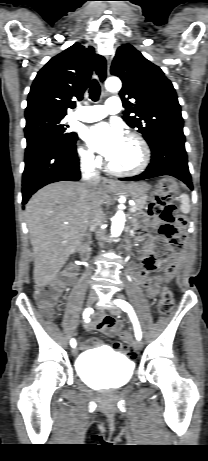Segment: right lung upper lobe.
<instances>
[{
	"label": "right lung upper lobe",
	"mask_w": 208,
	"mask_h": 461,
	"mask_svg": "<svg viewBox=\"0 0 208 461\" xmlns=\"http://www.w3.org/2000/svg\"><path fill=\"white\" fill-rule=\"evenodd\" d=\"M93 55V47L76 43L51 58L33 81L25 116H65L73 109L90 81Z\"/></svg>",
	"instance_id": "right-lung-upper-lobe-1"
}]
</instances>
